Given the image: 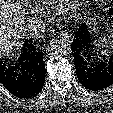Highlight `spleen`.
Returning <instances> with one entry per match:
<instances>
[{"label": "spleen", "mask_w": 113, "mask_h": 113, "mask_svg": "<svg viewBox=\"0 0 113 113\" xmlns=\"http://www.w3.org/2000/svg\"><path fill=\"white\" fill-rule=\"evenodd\" d=\"M97 48L103 49L106 48L105 51L102 50V53L108 54V49L113 47V34L104 38H99L97 41L94 42Z\"/></svg>", "instance_id": "3e777b00"}]
</instances>
